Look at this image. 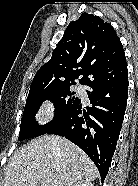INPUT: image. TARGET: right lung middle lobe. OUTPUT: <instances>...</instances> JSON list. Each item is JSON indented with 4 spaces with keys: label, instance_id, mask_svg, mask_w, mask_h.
<instances>
[{
    "label": "right lung middle lobe",
    "instance_id": "right-lung-middle-lobe-1",
    "mask_svg": "<svg viewBox=\"0 0 138 186\" xmlns=\"http://www.w3.org/2000/svg\"><path fill=\"white\" fill-rule=\"evenodd\" d=\"M70 86L67 85L28 94L20 125L19 140L45 134L52 126L72 111L80 102V99L75 96V92L71 91ZM47 99L54 102L55 118L46 125L41 126L35 121V115L39 106Z\"/></svg>",
    "mask_w": 138,
    "mask_h": 186
}]
</instances>
